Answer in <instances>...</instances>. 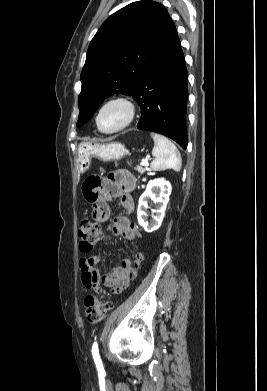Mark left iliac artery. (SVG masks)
<instances>
[{
    "instance_id": "1",
    "label": "left iliac artery",
    "mask_w": 267,
    "mask_h": 391,
    "mask_svg": "<svg viewBox=\"0 0 267 391\" xmlns=\"http://www.w3.org/2000/svg\"><path fill=\"white\" fill-rule=\"evenodd\" d=\"M92 355H93V358H94V361H95V364L97 366L98 371L99 372L103 371V366H102V362H101V359H100V356H99L97 342H94V344L92 346Z\"/></svg>"
}]
</instances>
